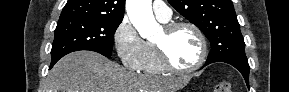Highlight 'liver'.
<instances>
[{
  "mask_svg": "<svg viewBox=\"0 0 289 92\" xmlns=\"http://www.w3.org/2000/svg\"><path fill=\"white\" fill-rule=\"evenodd\" d=\"M186 79L137 75L99 53L72 52L50 70L43 92H175Z\"/></svg>",
  "mask_w": 289,
  "mask_h": 92,
  "instance_id": "obj_1",
  "label": "liver"
}]
</instances>
